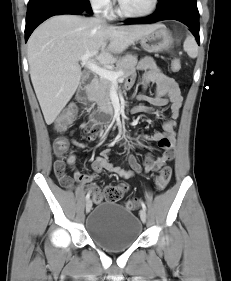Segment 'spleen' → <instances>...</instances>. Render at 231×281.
<instances>
[{
  "instance_id": "spleen-1",
  "label": "spleen",
  "mask_w": 231,
  "mask_h": 281,
  "mask_svg": "<svg viewBox=\"0 0 231 281\" xmlns=\"http://www.w3.org/2000/svg\"><path fill=\"white\" fill-rule=\"evenodd\" d=\"M184 50L190 58H196L198 55V46L193 36L188 35L183 44Z\"/></svg>"
}]
</instances>
